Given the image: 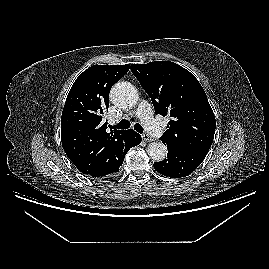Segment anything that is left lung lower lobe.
I'll return each instance as SVG.
<instances>
[{
	"mask_svg": "<svg viewBox=\"0 0 269 269\" xmlns=\"http://www.w3.org/2000/svg\"><path fill=\"white\" fill-rule=\"evenodd\" d=\"M206 154L207 152L168 148L167 159L154 162V168L164 176L181 178L191 174L202 163Z\"/></svg>",
	"mask_w": 269,
	"mask_h": 269,
	"instance_id": "obj_1",
	"label": "left lung lower lobe"
}]
</instances>
